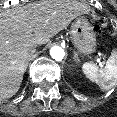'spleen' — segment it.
<instances>
[{
	"instance_id": "spleen-1",
	"label": "spleen",
	"mask_w": 117,
	"mask_h": 117,
	"mask_svg": "<svg viewBox=\"0 0 117 117\" xmlns=\"http://www.w3.org/2000/svg\"><path fill=\"white\" fill-rule=\"evenodd\" d=\"M82 70L91 81L99 84L101 89L112 88L117 84V49L112 50L104 68L99 69L94 63L86 62Z\"/></svg>"
}]
</instances>
